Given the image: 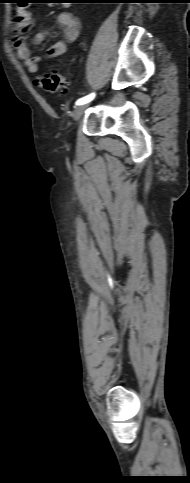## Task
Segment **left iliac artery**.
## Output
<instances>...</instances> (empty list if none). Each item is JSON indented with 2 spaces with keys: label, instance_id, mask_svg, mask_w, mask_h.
I'll return each instance as SVG.
<instances>
[{
  "label": "left iliac artery",
  "instance_id": "left-iliac-artery-1",
  "mask_svg": "<svg viewBox=\"0 0 190 483\" xmlns=\"http://www.w3.org/2000/svg\"><path fill=\"white\" fill-rule=\"evenodd\" d=\"M95 97V93H91L83 98H80L76 101V105H82V104H86L88 102H90L91 100H93V98Z\"/></svg>",
  "mask_w": 190,
  "mask_h": 483
}]
</instances>
